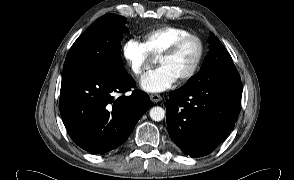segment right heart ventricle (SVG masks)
I'll list each match as a JSON object with an SVG mask.
<instances>
[{"mask_svg": "<svg viewBox=\"0 0 294 180\" xmlns=\"http://www.w3.org/2000/svg\"><path fill=\"white\" fill-rule=\"evenodd\" d=\"M190 32L182 27L166 25L140 33L139 38L145 50L154 58L165 51L177 38Z\"/></svg>", "mask_w": 294, "mask_h": 180, "instance_id": "1", "label": "right heart ventricle"}]
</instances>
